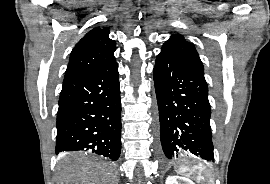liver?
Masks as SVG:
<instances>
[{
  "label": "liver",
  "mask_w": 270,
  "mask_h": 184,
  "mask_svg": "<svg viewBox=\"0 0 270 184\" xmlns=\"http://www.w3.org/2000/svg\"><path fill=\"white\" fill-rule=\"evenodd\" d=\"M117 173L110 163L80 161L58 173V184H115Z\"/></svg>",
  "instance_id": "6515ba94"
}]
</instances>
